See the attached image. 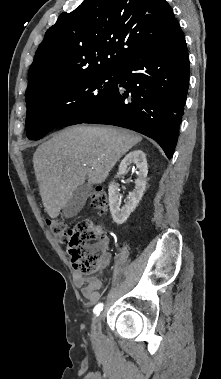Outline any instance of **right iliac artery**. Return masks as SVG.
<instances>
[{"label": "right iliac artery", "instance_id": "right-iliac-artery-1", "mask_svg": "<svg viewBox=\"0 0 221 379\" xmlns=\"http://www.w3.org/2000/svg\"><path fill=\"white\" fill-rule=\"evenodd\" d=\"M103 309V303H98L94 309H93V313L98 315Z\"/></svg>", "mask_w": 221, "mask_h": 379}]
</instances>
